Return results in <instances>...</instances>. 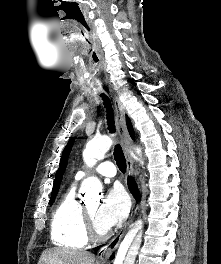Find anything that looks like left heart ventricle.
<instances>
[{"label": "left heart ventricle", "instance_id": "left-heart-ventricle-1", "mask_svg": "<svg viewBox=\"0 0 221 264\" xmlns=\"http://www.w3.org/2000/svg\"><path fill=\"white\" fill-rule=\"evenodd\" d=\"M85 207L88 210V212L90 213V215L92 216V218H93V220L95 222V225H96L97 229L100 230V231H105L106 229H104L99 224V222L96 219V211L98 209V203L97 202H94V203H91V204H87Z\"/></svg>", "mask_w": 221, "mask_h": 264}]
</instances>
